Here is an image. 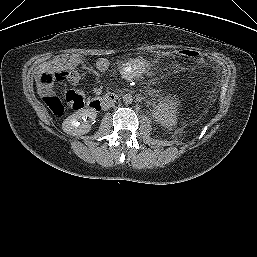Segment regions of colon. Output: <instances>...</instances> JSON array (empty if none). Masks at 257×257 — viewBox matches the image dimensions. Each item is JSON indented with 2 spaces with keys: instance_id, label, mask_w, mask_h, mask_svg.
<instances>
[{
  "instance_id": "colon-1",
  "label": "colon",
  "mask_w": 257,
  "mask_h": 257,
  "mask_svg": "<svg viewBox=\"0 0 257 257\" xmlns=\"http://www.w3.org/2000/svg\"><path fill=\"white\" fill-rule=\"evenodd\" d=\"M178 52L183 57L191 60H196L200 57V53L195 49L184 48L180 49ZM40 80L45 84H52L54 81L58 80V76L42 74ZM44 101L54 115L61 116L65 112V105L74 110L81 109L84 106L85 94L79 90H69L65 95L64 102L53 95L45 96Z\"/></svg>"
}]
</instances>
